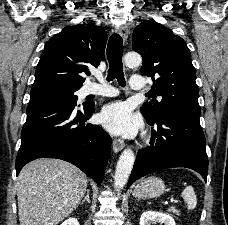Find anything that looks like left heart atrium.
<instances>
[{
    "label": "left heart atrium",
    "instance_id": "left-heart-atrium-1",
    "mask_svg": "<svg viewBox=\"0 0 228 225\" xmlns=\"http://www.w3.org/2000/svg\"><path fill=\"white\" fill-rule=\"evenodd\" d=\"M101 122L114 135L134 136L140 128V120L128 104L115 102L104 107L101 112Z\"/></svg>",
    "mask_w": 228,
    "mask_h": 225
}]
</instances>
